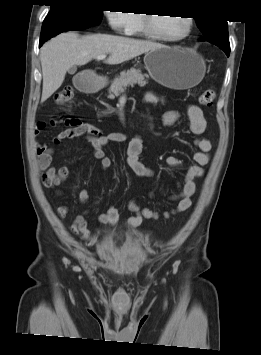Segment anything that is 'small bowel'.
<instances>
[{
    "mask_svg": "<svg viewBox=\"0 0 261 355\" xmlns=\"http://www.w3.org/2000/svg\"><path fill=\"white\" fill-rule=\"evenodd\" d=\"M146 101L157 103L162 99L153 92L146 95ZM189 119V129L195 137L193 140L194 150L190 154L192 164H181V161L172 155L165 158L167 164L173 167H180L184 171V179L178 185V192L170 196V200L176 202V206L168 211L158 212L146 207L139 206L135 201L128 204L130 211L134 213L125 222V227H139L144 220H157L168 218L177 213L186 211L192 204V197L196 190V180L203 175V166L209 162V150L211 148L209 140L201 137L207 129V121L201 108L194 104L187 107ZM181 117L178 111H168L163 115V124L171 126ZM42 123V126H38ZM55 125V122H51ZM67 128L58 133L51 141V144L36 143L35 151L38 156V165L42 171V183L46 188L52 189L56 195H62L59 186L67 179L69 168L67 166L56 167L52 165L54 147L60 145L65 139L85 138L92 145V154L95 159L100 160L103 170H107L111 164V159L106 155L104 148L109 144L127 142L126 161L130 169L138 176L152 177L154 171L140 161V154L143 150V141L139 135L128 138L122 133L102 134L95 126L83 122L80 119L72 118L66 120ZM46 127L44 122H39L34 130V137H38L40 132ZM90 194L87 189L79 192V200L86 203ZM69 206L61 205L56 208L59 218L65 219L69 214ZM88 211L77 215L69 229L73 234H80L86 240L93 242L95 236L89 229L87 220ZM98 220L102 224L115 226L119 221L118 209L112 205L106 211L98 215Z\"/></svg>",
    "mask_w": 261,
    "mask_h": 355,
    "instance_id": "c3829d8e",
    "label": "small bowel"
}]
</instances>
